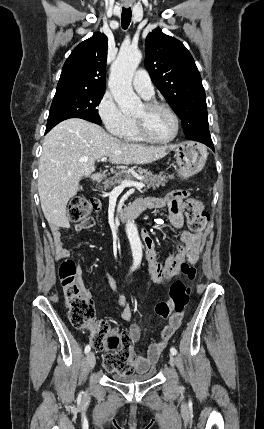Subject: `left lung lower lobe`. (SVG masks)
I'll return each instance as SVG.
<instances>
[{"label": "left lung lower lobe", "instance_id": "left-lung-lower-lobe-1", "mask_svg": "<svg viewBox=\"0 0 264 429\" xmlns=\"http://www.w3.org/2000/svg\"><path fill=\"white\" fill-rule=\"evenodd\" d=\"M194 141L201 142V143H203V144L207 145L208 147H210L213 151H215V150H214V145H213V142H212V140H211V137H210V136H209V137H201V138H197V139H195Z\"/></svg>", "mask_w": 264, "mask_h": 429}]
</instances>
